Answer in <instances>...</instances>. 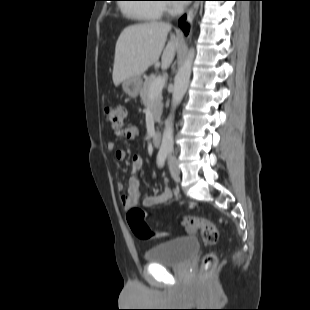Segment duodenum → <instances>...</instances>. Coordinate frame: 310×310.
Instances as JSON below:
<instances>
[{"instance_id":"duodenum-1","label":"duodenum","mask_w":310,"mask_h":310,"mask_svg":"<svg viewBox=\"0 0 310 310\" xmlns=\"http://www.w3.org/2000/svg\"><path fill=\"white\" fill-rule=\"evenodd\" d=\"M161 140H162V132L161 131H154L151 134V142H152L153 146H155V147L160 146Z\"/></svg>"}]
</instances>
